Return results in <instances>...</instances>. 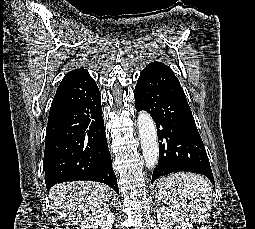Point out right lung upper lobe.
<instances>
[{"label": "right lung upper lobe", "mask_w": 255, "mask_h": 229, "mask_svg": "<svg viewBox=\"0 0 255 229\" xmlns=\"http://www.w3.org/2000/svg\"><path fill=\"white\" fill-rule=\"evenodd\" d=\"M82 69H83V68H81V69H75V70H73V71L67 73V74L65 75L64 79L62 80V82L60 83V85H59V87H58V89H57L56 94H58V93L60 92V90H61V88H62L63 82H64L70 75L75 74V73L79 72V71L82 70Z\"/></svg>", "instance_id": "obj_1"}]
</instances>
